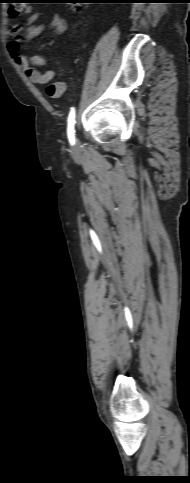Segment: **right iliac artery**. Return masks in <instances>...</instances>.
Segmentation results:
<instances>
[{
    "mask_svg": "<svg viewBox=\"0 0 190 483\" xmlns=\"http://www.w3.org/2000/svg\"><path fill=\"white\" fill-rule=\"evenodd\" d=\"M74 126H75V109L72 108L69 117H68V128H67V133H68V139L70 143L73 145L75 143V138H74Z\"/></svg>",
    "mask_w": 190,
    "mask_h": 483,
    "instance_id": "right-iliac-artery-1",
    "label": "right iliac artery"
}]
</instances>
